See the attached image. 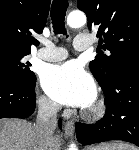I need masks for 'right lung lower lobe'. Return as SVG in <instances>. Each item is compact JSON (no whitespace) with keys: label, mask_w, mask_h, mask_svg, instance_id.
<instances>
[{"label":"right lung lower lobe","mask_w":139,"mask_h":150,"mask_svg":"<svg viewBox=\"0 0 139 150\" xmlns=\"http://www.w3.org/2000/svg\"><path fill=\"white\" fill-rule=\"evenodd\" d=\"M35 83L26 85L0 78V119L27 118L34 113L36 107Z\"/></svg>","instance_id":"1"}]
</instances>
